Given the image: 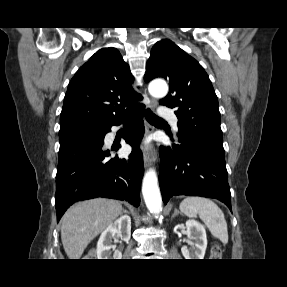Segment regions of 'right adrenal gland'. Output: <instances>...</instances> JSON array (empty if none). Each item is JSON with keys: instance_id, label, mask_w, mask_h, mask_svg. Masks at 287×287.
I'll list each match as a JSON object with an SVG mask.
<instances>
[{"instance_id": "2a0ac1e0", "label": "right adrenal gland", "mask_w": 287, "mask_h": 287, "mask_svg": "<svg viewBox=\"0 0 287 287\" xmlns=\"http://www.w3.org/2000/svg\"><path fill=\"white\" fill-rule=\"evenodd\" d=\"M123 212H124V213H128V211H127V210H123Z\"/></svg>"}]
</instances>
